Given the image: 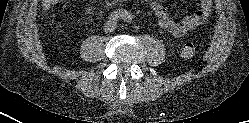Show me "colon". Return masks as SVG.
<instances>
[{
	"mask_svg": "<svg viewBox=\"0 0 249 123\" xmlns=\"http://www.w3.org/2000/svg\"><path fill=\"white\" fill-rule=\"evenodd\" d=\"M180 53L184 58H192L196 53V47L192 42H185L181 47Z\"/></svg>",
	"mask_w": 249,
	"mask_h": 123,
	"instance_id": "1",
	"label": "colon"
}]
</instances>
